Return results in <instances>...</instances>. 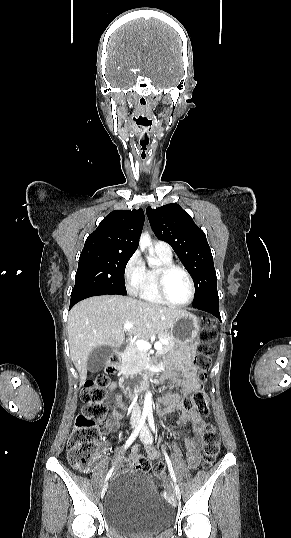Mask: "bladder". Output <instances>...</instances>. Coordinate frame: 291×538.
<instances>
[{"mask_svg": "<svg viewBox=\"0 0 291 538\" xmlns=\"http://www.w3.org/2000/svg\"><path fill=\"white\" fill-rule=\"evenodd\" d=\"M103 515L112 528L127 534L156 533L174 520V509L141 474L121 471L103 496Z\"/></svg>", "mask_w": 291, "mask_h": 538, "instance_id": "31cf9c89", "label": "bladder"}]
</instances>
